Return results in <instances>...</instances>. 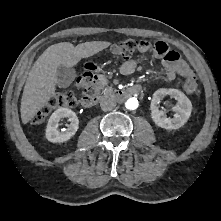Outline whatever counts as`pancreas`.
<instances>
[{"label":"pancreas","instance_id":"obj_1","mask_svg":"<svg viewBox=\"0 0 221 221\" xmlns=\"http://www.w3.org/2000/svg\"><path fill=\"white\" fill-rule=\"evenodd\" d=\"M106 85H107V80L104 79V80L102 81V87H104V86H106Z\"/></svg>","mask_w":221,"mask_h":221}]
</instances>
